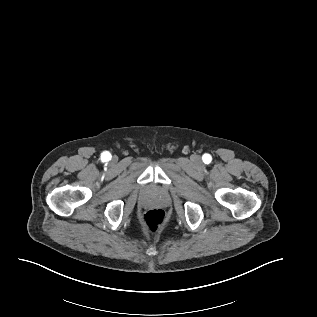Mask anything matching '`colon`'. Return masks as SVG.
<instances>
[{
    "label": "colon",
    "mask_w": 317,
    "mask_h": 317,
    "mask_svg": "<svg viewBox=\"0 0 317 317\" xmlns=\"http://www.w3.org/2000/svg\"><path fill=\"white\" fill-rule=\"evenodd\" d=\"M165 221V212L160 208L146 211L142 216L143 224L151 231L158 229Z\"/></svg>",
    "instance_id": "obj_1"
}]
</instances>
